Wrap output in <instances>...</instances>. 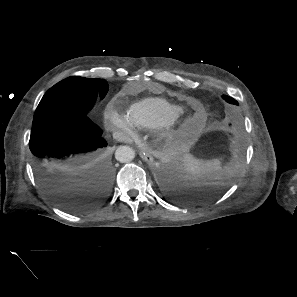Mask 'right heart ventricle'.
Wrapping results in <instances>:
<instances>
[{
	"label": "right heart ventricle",
	"instance_id": "1",
	"mask_svg": "<svg viewBox=\"0 0 297 297\" xmlns=\"http://www.w3.org/2000/svg\"><path fill=\"white\" fill-rule=\"evenodd\" d=\"M185 113L181 104L164 98L148 97L134 102L127 116L136 128L154 129L160 124L180 119Z\"/></svg>",
	"mask_w": 297,
	"mask_h": 297
}]
</instances>
